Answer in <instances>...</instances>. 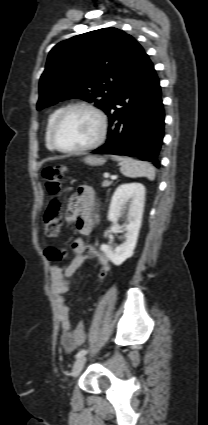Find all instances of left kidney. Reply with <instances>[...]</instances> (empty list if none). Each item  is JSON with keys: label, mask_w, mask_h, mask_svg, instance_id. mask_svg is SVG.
<instances>
[{"label": "left kidney", "mask_w": 208, "mask_h": 425, "mask_svg": "<svg viewBox=\"0 0 208 425\" xmlns=\"http://www.w3.org/2000/svg\"><path fill=\"white\" fill-rule=\"evenodd\" d=\"M144 201L145 187L140 183L122 184L117 187L112 196L108 219L113 225H116L122 213L126 214L127 223L124 226L126 230L125 242L114 250L109 244L101 245L100 249L117 266L134 254L142 222ZM109 232V230L106 231L104 236L107 237Z\"/></svg>", "instance_id": "5707ae66"}]
</instances>
